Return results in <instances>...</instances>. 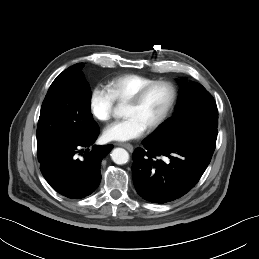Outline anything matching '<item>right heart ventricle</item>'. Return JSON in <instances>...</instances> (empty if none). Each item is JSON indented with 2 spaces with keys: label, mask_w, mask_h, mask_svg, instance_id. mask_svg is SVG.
<instances>
[{
  "label": "right heart ventricle",
  "mask_w": 259,
  "mask_h": 259,
  "mask_svg": "<svg viewBox=\"0 0 259 259\" xmlns=\"http://www.w3.org/2000/svg\"><path fill=\"white\" fill-rule=\"evenodd\" d=\"M153 81H155V79L144 75L125 74L109 81L107 89L114 101L122 104L132 97L138 90Z\"/></svg>",
  "instance_id": "obj_1"
}]
</instances>
